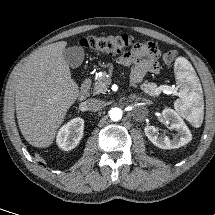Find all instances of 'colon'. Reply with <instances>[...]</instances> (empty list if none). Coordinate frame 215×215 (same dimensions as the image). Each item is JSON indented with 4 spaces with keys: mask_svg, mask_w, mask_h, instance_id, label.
<instances>
[{
    "mask_svg": "<svg viewBox=\"0 0 215 215\" xmlns=\"http://www.w3.org/2000/svg\"><path fill=\"white\" fill-rule=\"evenodd\" d=\"M81 45L89 50L99 51L110 55L122 53L124 50L131 46L137 45L132 36L123 35H110V36H90L83 38L80 41ZM175 51H168L163 55L165 64H171L176 58Z\"/></svg>",
    "mask_w": 215,
    "mask_h": 215,
    "instance_id": "1",
    "label": "colon"
}]
</instances>
